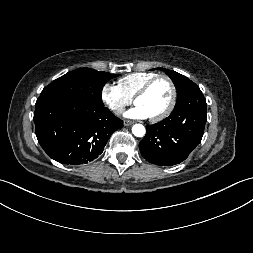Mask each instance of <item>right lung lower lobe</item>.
<instances>
[{"mask_svg":"<svg viewBox=\"0 0 253 253\" xmlns=\"http://www.w3.org/2000/svg\"><path fill=\"white\" fill-rule=\"evenodd\" d=\"M34 123L44 151L52 159L72 165L96 159L111 134L123 126L104 105L51 95L37 99Z\"/></svg>","mask_w":253,"mask_h":253,"instance_id":"obj_1","label":"right lung lower lobe"}]
</instances>
